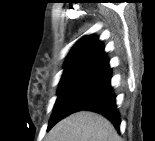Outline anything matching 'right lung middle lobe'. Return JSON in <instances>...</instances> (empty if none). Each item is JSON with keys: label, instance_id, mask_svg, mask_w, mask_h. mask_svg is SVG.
Instances as JSON below:
<instances>
[{"label": "right lung middle lobe", "instance_id": "dd1d6c3e", "mask_svg": "<svg viewBox=\"0 0 155 141\" xmlns=\"http://www.w3.org/2000/svg\"><path fill=\"white\" fill-rule=\"evenodd\" d=\"M95 72L77 70L63 73L59 88L58 97L54 105V110L51 115L48 129L55 125L61 119V109L68 102V100L77 92V90L91 78Z\"/></svg>", "mask_w": 155, "mask_h": 141}]
</instances>
